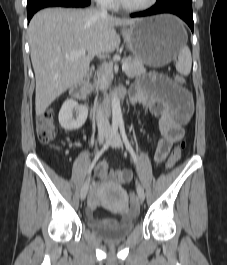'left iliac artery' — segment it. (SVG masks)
<instances>
[{
	"mask_svg": "<svg viewBox=\"0 0 227 265\" xmlns=\"http://www.w3.org/2000/svg\"><path fill=\"white\" fill-rule=\"evenodd\" d=\"M119 125H120V132H121L123 141L125 143V146L128 149V151L130 152L131 157H132V159H133V161H134V163L136 165L137 171H138L137 158H136L135 152H134V150H133V148H132V146H131L128 138H127V135H126V132H125L124 123L120 122Z\"/></svg>",
	"mask_w": 227,
	"mask_h": 265,
	"instance_id": "obj_1",
	"label": "left iliac artery"
}]
</instances>
